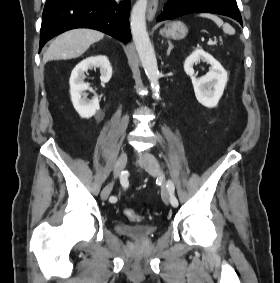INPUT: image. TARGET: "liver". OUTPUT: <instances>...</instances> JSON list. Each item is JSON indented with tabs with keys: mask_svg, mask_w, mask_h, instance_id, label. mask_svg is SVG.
<instances>
[{
	"mask_svg": "<svg viewBox=\"0 0 280 283\" xmlns=\"http://www.w3.org/2000/svg\"><path fill=\"white\" fill-rule=\"evenodd\" d=\"M104 33L92 29H74L59 35L44 54V62L72 59L82 55L93 43L103 39Z\"/></svg>",
	"mask_w": 280,
	"mask_h": 283,
	"instance_id": "obj_1",
	"label": "liver"
}]
</instances>
